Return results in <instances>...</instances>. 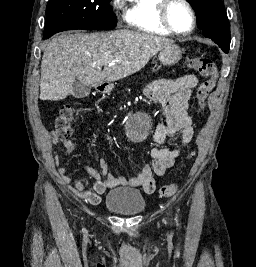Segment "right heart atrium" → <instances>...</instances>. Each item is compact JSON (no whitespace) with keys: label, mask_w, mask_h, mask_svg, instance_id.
I'll use <instances>...</instances> for the list:
<instances>
[{"label":"right heart atrium","mask_w":256,"mask_h":267,"mask_svg":"<svg viewBox=\"0 0 256 267\" xmlns=\"http://www.w3.org/2000/svg\"><path fill=\"white\" fill-rule=\"evenodd\" d=\"M122 20L125 22V23H132V20H131V15L129 12L127 13H124L123 16H122ZM118 22H120V19H118Z\"/></svg>","instance_id":"obj_1"}]
</instances>
